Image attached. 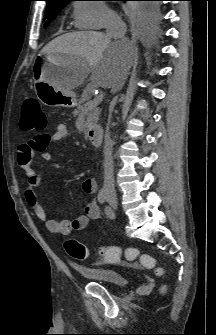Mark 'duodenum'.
Masks as SVG:
<instances>
[{
  "label": "duodenum",
  "mask_w": 216,
  "mask_h": 335,
  "mask_svg": "<svg viewBox=\"0 0 216 335\" xmlns=\"http://www.w3.org/2000/svg\"><path fill=\"white\" fill-rule=\"evenodd\" d=\"M88 139L95 146L99 147L102 143L103 131L100 126L91 127L87 132Z\"/></svg>",
  "instance_id": "1"
}]
</instances>
